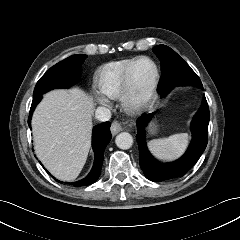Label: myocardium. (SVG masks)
Masks as SVG:
<instances>
[{
	"label": "myocardium",
	"mask_w": 240,
	"mask_h": 240,
	"mask_svg": "<svg viewBox=\"0 0 240 240\" xmlns=\"http://www.w3.org/2000/svg\"><path fill=\"white\" fill-rule=\"evenodd\" d=\"M149 61L154 67V78L151 86L143 93L137 94L132 86V75L136 66L141 61ZM160 83V69L158 64L150 57L140 56L128 67L125 72L122 91L120 95L121 105L125 112L130 114H138L149 108L156 97Z\"/></svg>",
	"instance_id": "f54148a6"
}]
</instances>
